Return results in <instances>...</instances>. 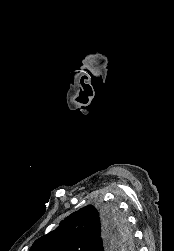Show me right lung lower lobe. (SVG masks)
Wrapping results in <instances>:
<instances>
[{"label": "right lung lower lobe", "instance_id": "right-lung-lower-lobe-1", "mask_svg": "<svg viewBox=\"0 0 174 251\" xmlns=\"http://www.w3.org/2000/svg\"><path fill=\"white\" fill-rule=\"evenodd\" d=\"M117 233H118L117 226L110 223L106 218H104L103 227H102V235H101V244L104 248L108 247V249H104V251H107V250L118 251L111 248L114 238Z\"/></svg>", "mask_w": 174, "mask_h": 251}]
</instances>
